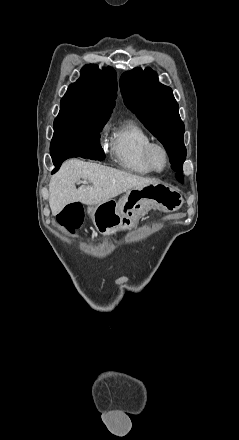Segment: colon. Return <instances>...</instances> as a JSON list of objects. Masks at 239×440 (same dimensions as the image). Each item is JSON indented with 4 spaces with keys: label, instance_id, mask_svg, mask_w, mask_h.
<instances>
[{
    "label": "colon",
    "instance_id": "obj_1",
    "mask_svg": "<svg viewBox=\"0 0 239 440\" xmlns=\"http://www.w3.org/2000/svg\"><path fill=\"white\" fill-rule=\"evenodd\" d=\"M83 218V209L79 203L69 204L59 213L57 217L58 223L67 228L69 231H74L81 226Z\"/></svg>",
    "mask_w": 239,
    "mask_h": 440
}]
</instances>
